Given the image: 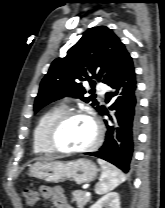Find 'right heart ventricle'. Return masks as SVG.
Returning <instances> with one entry per match:
<instances>
[{"mask_svg": "<svg viewBox=\"0 0 165 208\" xmlns=\"http://www.w3.org/2000/svg\"><path fill=\"white\" fill-rule=\"evenodd\" d=\"M65 110L64 105H58L40 116L33 130L32 145L35 153L43 155L54 153L46 143V132L51 123Z\"/></svg>", "mask_w": 165, "mask_h": 208, "instance_id": "right-heart-ventricle-1", "label": "right heart ventricle"}]
</instances>
